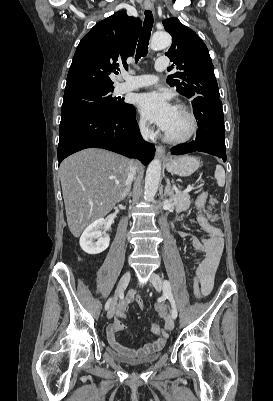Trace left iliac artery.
<instances>
[{"label":"left iliac artery","instance_id":"left-iliac-artery-1","mask_svg":"<svg viewBox=\"0 0 273 401\" xmlns=\"http://www.w3.org/2000/svg\"><path fill=\"white\" fill-rule=\"evenodd\" d=\"M163 291L167 296V299H169L170 303H171V307H172V317L173 319H175L177 317V308H176V303L173 297V294L171 292V286H170V282L168 280H164L163 282Z\"/></svg>","mask_w":273,"mask_h":401}]
</instances>
